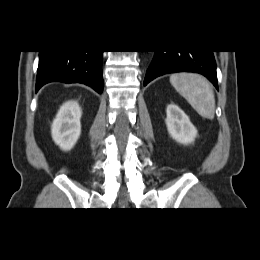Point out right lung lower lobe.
Returning a JSON list of instances; mask_svg holds the SVG:
<instances>
[{"label": "right lung lower lobe", "instance_id": "right-lung-lower-lobe-1", "mask_svg": "<svg viewBox=\"0 0 260 260\" xmlns=\"http://www.w3.org/2000/svg\"><path fill=\"white\" fill-rule=\"evenodd\" d=\"M103 51H40L36 91L50 82L83 83L103 92Z\"/></svg>", "mask_w": 260, "mask_h": 260}]
</instances>
